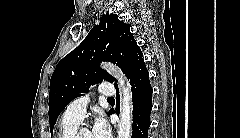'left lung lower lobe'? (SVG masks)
<instances>
[{
  "label": "left lung lower lobe",
  "mask_w": 240,
  "mask_h": 138,
  "mask_svg": "<svg viewBox=\"0 0 240 138\" xmlns=\"http://www.w3.org/2000/svg\"><path fill=\"white\" fill-rule=\"evenodd\" d=\"M127 78L132 86L133 97V133L132 138H147L150 126V113L152 110V87L149 81V72L143 60L142 52H139L129 67ZM118 104L119 91L116 86ZM115 111L110 110L108 115ZM119 107L116 108V114Z\"/></svg>",
  "instance_id": "0a47b994"
}]
</instances>
